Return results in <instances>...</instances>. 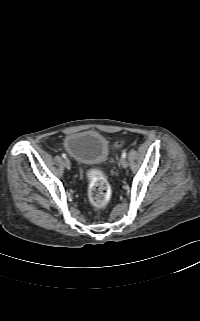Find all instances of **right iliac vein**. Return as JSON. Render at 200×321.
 Listing matches in <instances>:
<instances>
[{"mask_svg": "<svg viewBox=\"0 0 200 321\" xmlns=\"http://www.w3.org/2000/svg\"><path fill=\"white\" fill-rule=\"evenodd\" d=\"M64 165H65V167L68 168V169L71 167V163H70V160H69L68 158H65V160H64Z\"/></svg>", "mask_w": 200, "mask_h": 321, "instance_id": "right-iliac-vein-1", "label": "right iliac vein"}]
</instances>
